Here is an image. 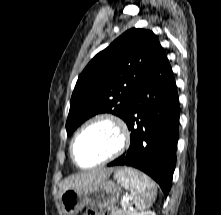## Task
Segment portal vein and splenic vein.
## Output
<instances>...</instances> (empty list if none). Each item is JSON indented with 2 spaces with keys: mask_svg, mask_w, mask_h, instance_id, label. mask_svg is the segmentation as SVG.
I'll return each instance as SVG.
<instances>
[{
  "mask_svg": "<svg viewBox=\"0 0 221 215\" xmlns=\"http://www.w3.org/2000/svg\"><path fill=\"white\" fill-rule=\"evenodd\" d=\"M127 203H128L127 201H124V200L121 201L122 206H127L128 205Z\"/></svg>",
  "mask_w": 221,
  "mask_h": 215,
  "instance_id": "portal-vein-and-splenic-vein-1",
  "label": "portal vein and splenic vein"
}]
</instances>
